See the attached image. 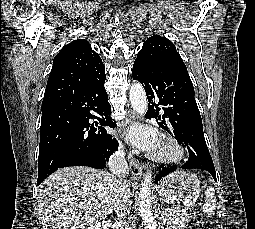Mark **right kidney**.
Wrapping results in <instances>:
<instances>
[{"label":"right kidney","instance_id":"obj_1","mask_svg":"<svg viewBox=\"0 0 255 229\" xmlns=\"http://www.w3.org/2000/svg\"><path fill=\"white\" fill-rule=\"evenodd\" d=\"M112 224H111V221L110 220H107V221H102V223H95L91 226H89L87 229H108V227H110Z\"/></svg>","mask_w":255,"mask_h":229}]
</instances>
